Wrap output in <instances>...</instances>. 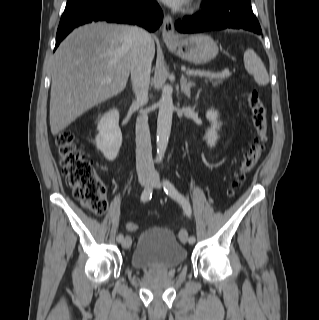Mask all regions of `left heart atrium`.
Returning a JSON list of instances; mask_svg holds the SVG:
<instances>
[{
    "instance_id": "left-heart-atrium-1",
    "label": "left heart atrium",
    "mask_w": 319,
    "mask_h": 320,
    "mask_svg": "<svg viewBox=\"0 0 319 320\" xmlns=\"http://www.w3.org/2000/svg\"><path fill=\"white\" fill-rule=\"evenodd\" d=\"M162 1L171 7H180L184 5L188 0H162Z\"/></svg>"
}]
</instances>
